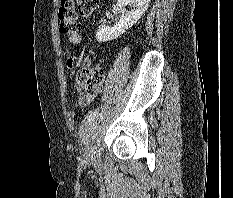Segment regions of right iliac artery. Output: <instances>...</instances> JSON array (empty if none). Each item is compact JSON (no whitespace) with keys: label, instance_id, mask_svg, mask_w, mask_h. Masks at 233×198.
I'll list each match as a JSON object with an SVG mask.
<instances>
[{"label":"right iliac artery","instance_id":"obj_1","mask_svg":"<svg viewBox=\"0 0 233 198\" xmlns=\"http://www.w3.org/2000/svg\"><path fill=\"white\" fill-rule=\"evenodd\" d=\"M97 114H98V109H96L94 112L91 113V115L89 117V120H88L89 124H91L94 121V119L96 118Z\"/></svg>","mask_w":233,"mask_h":198}]
</instances>
